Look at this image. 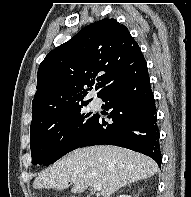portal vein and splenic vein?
Here are the masks:
<instances>
[{
    "mask_svg": "<svg viewBox=\"0 0 191 197\" xmlns=\"http://www.w3.org/2000/svg\"><path fill=\"white\" fill-rule=\"evenodd\" d=\"M101 188H102V184H101V183H98V184H95V185H94V190H95V191H100Z\"/></svg>",
    "mask_w": 191,
    "mask_h": 197,
    "instance_id": "1",
    "label": "portal vein and splenic vein"
}]
</instances>
